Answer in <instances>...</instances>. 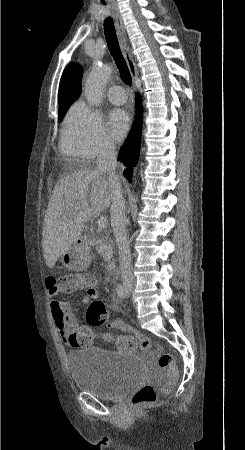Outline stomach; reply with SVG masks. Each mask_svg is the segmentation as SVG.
I'll use <instances>...</instances> for the list:
<instances>
[{"label": "stomach", "instance_id": "obj_1", "mask_svg": "<svg viewBox=\"0 0 245 450\" xmlns=\"http://www.w3.org/2000/svg\"><path fill=\"white\" fill-rule=\"evenodd\" d=\"M60 261L71 270L81 271L88 266L90 256L88 250L76 242L61 256Z\"/></svg>", "mask_w": 245, "mask_h": 450}]
</instances>
